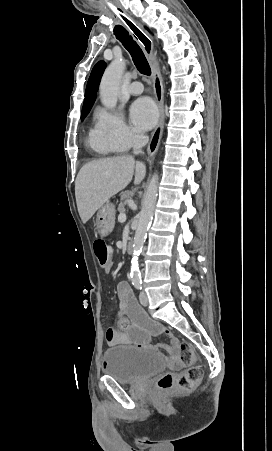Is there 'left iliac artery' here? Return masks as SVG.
<instances>
[{
  "mask_svg": "<svg viewBox=\"0 0 272 451\" xmlns=\"http://www.w3.org/2000/svg\"><path fill=\"white\" fill-rule=\"evenodd\" d=\"M134 285L138 290L142 289V281H140V280L134 281Z\"/></svg>",
  "mask_w": 272,
  "mask_h": 451,
  "instance_id": "left-iliac-artery-1",
  "label": "left iliac artery"
}]
</instances>
